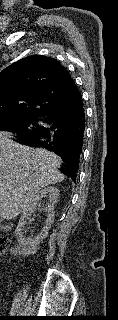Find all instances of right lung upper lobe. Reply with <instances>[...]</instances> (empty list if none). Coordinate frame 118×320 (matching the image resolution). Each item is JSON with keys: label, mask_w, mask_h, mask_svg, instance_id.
Segmentation results:
<instances>
[{"label": "right lung upper lobe", "mask_w": 118, "mask_h": 320, "mask_svg": "<svg viewBox=\"0 0 118 320\" xmlns=\"http://www.w3.org/2000/svg\"><path fill=\"white\" fill-rule=\"evenodd\" d=\"M80 92L68 71L55 59L25 57L0 73V119L48 114Z\"/></svg>", "instance_id": "right-lung-upper-lobe-1"}]
</instances>
